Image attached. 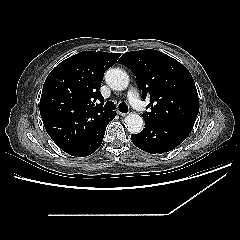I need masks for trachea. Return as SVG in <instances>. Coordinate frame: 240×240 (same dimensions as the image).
<instances>
[{"label":"trachea","mask_w":240,"mask_h":240,"mask_svg":"<svg viewBox=\"0 0 240 240\" xmlns=\"http://www.w3.org/2000/svg\"><path fill=\"white\" fill-rule=\"evenodd\" d=\"M116 107V105L114 104V102L112 101H108L105 105H104V110L105 111H112L114 110ZM118 109L123 112L126 113L128 111V106L126 105V103L122 102L118 105Z\"/></svg>","instance_id":"trachea-1"}]
</instances>
